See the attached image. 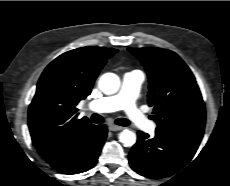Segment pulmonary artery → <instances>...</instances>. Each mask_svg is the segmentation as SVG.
Masks as SVG:
<instances>
[{
	"label": "pulmonary artery",
	"mask_w": 230,
	"mask_h": 186,
	"mask_svg": "<svg viewBox=\"0 0 230 186\" xmlns=\"http://www.w3.org/2000/svg\"><path fill=\"white\" fill-rule=\"evenodd\" d=\"M143 80L144 74L139 70L125 73L119 92L115 95L89 102V109L95 112L124 110L133 125L149 133L155 132V123L150 121L136 105V98Z\"/></svg>",
	"instance_id": "obj_1"
}]
</instances>
